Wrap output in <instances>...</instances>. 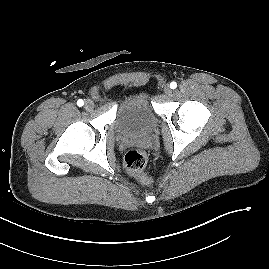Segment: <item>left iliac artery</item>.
Returning a JSON list of instances; mask_svg holds the SVG:
<instances>
[{"instance_id": "obj_1", "label": "left iliac artery", "mask_w": 269, "mask_h": 269, "mask_svg": "<svg viewBox=\"0 0 269 269\" xmlns=\"http://www.w3.org/2000/svg\"><path fill=\"white\" fill-rule=\"evenodd\" d=\"M176 87H177V83L176 82L173 81V82L170 83V88L171 89H175Z\"/></svg>"}]
</instances>
